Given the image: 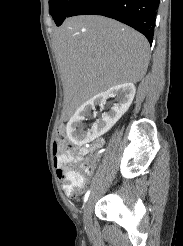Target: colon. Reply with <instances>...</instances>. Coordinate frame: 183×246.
<instances>
[{
	"label": "colon",
	"mask_w": 183,
	"mask_h": 246,
	"mask_svg": "<svg viewBox=\"0 0 183 246\" xmlns=\"http://www.w3.org/2000/svg\"><path fill=\"white\" fill-rule=\"evenodd\" d=\"M69 149V143L67 140V132L64 125H60L57 128L56 136L53 144L54 154L61 156L65 154ZM66 169V168H65ZM67 170V169H66ZM68 184L72 194H76L84 180V175L78 171L67 170Z\"/></svg>",
	"instance_id": "1"
}]
</instances>
